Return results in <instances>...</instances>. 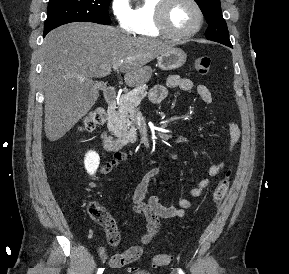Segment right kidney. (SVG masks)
<instances>
[{
    "instance_id": "obj_1",
    "label": "right kidney",
    "mask_w": 289,
    "mask_h": 274,
    "mask_svg": "<svg viewBox=\"0 0 289 274\" xmlns=\"http://www.w3.org/2000/svg\"><path fill=\"white\" fill-rule=\"evenodd\" d=\"M100 158L94 151H89L84 159L85 169L90 175H94L99 167Z\"/></svg>"
}]
</instances>
